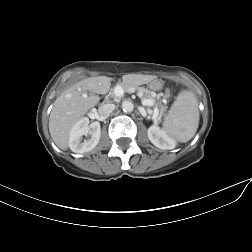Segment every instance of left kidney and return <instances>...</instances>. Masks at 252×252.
<instances>
[{"label":"left kidney","instance_id":"1","mask_svg":"<svg viewBox=\"0 0 252 252\" xmlns=\"http://www.w3.org/2000/svg\"><path fill=\"white\" fill-rule=\"evenodd\" d=\"M147 135L151 143L160 149H173L176 146V142L156 124L149 127Z\"/></svg>","mask_w":252,"mask_h":252}]
</instances>
